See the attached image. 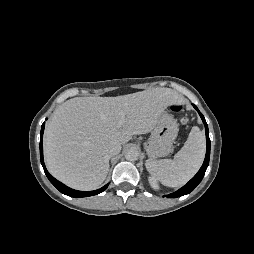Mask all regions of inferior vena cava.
Wrapping results in <instances>:
<instances>
[{
  "instance_id": "inferior-vena-cava-1",
  "label": "inferior vena cava",
  "mask_w": 254,
  "mask_h": 254,
  "mask_svg": "<svg viewBox=\"0 0 254 254\" xmlns=\"http://www.w3.org/2000/svg\"><path fill=\"white\" fill-rule=\"evenodd\" d=\"M120 151H121V145L118 143H113L107 147L106 154L108 157H112L120 153Z\"/></svg>"
}]
</instances>
